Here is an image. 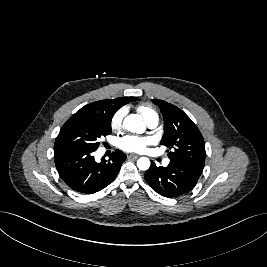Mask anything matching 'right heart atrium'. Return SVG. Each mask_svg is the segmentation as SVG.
Returning <instances> with one entry per match:
<instances>
[{"label":"right heart atrium","instance_id":"d8ad5b80","mask_svg":"<svg viewBox=\"0 0 267 267\" xmlns=\"http://www.w3.org/2000/svg\"><path fill=\"white\" fill-rule=\"evenodd\" d=\"M126 115V109L120 108L111 118V127L114 130H119L122 127L123 119Z\"/></svg>","mask_w":267,"mask_h":267}]
</instances>
